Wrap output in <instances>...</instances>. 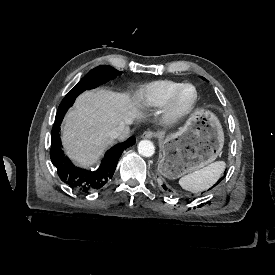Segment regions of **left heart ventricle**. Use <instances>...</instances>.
<instances>
[{
  "label": "left heart ventricle",
  "mask_w": 275,
  "mask_h": 275,
  "mask_svg": "<svg viewBox=\"0 0 275 275\" xmlns=\"http://www.w3.org/2000/svg\"><path fill=\"white\" fill-rule=\"evenodd\" d=\"M190 96H191V90L186 89L182 92L181 98L183 101H186L187 99H189Z\"/></svg>",
  "instance_id": "obj_1"
}]
</instances>
